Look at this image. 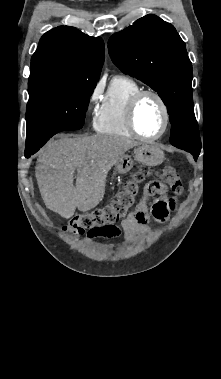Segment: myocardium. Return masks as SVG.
<instances>
[{"instance_id":"1","label":"myocardium","mask_w":221,"mask_h":379,"mask_svg":"<svg viewBox=\"0 0 221 379\" xmlns=\"http://www.w3.org/2000/svg\"><path fill=\"white\" fill-rule=\"evenodd\" d=\"M146 96H152L158 101V103L161 106L163 116H164V123H163V127L161 131L157 135L151 136V137L141 134L136 125V111H137L138 105L141 102V100ZM126 116H127V124L132 134L136 136L137 138L144 141H155L163 137V135L167 132L169 123H170V113H169V109L164 98L158 92L154 90H149V89L138 91L130 99L127 105Z\"/></svg>"}]
</instances>
